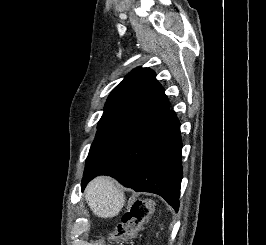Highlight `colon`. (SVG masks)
<instances>
[{"label":"colon","mask_w":266,"mask_h":245,"mask_svg":"<svg viewBox=\"0 0 266 245\" xmlns=\"http://www.w3.org/2000/svg\"><path fill=\"white\" fill-rule=\"evenodd\" d=\"M152 203L148 199H137L120 218L115 229L109 235L113 245H134L133 239L149 217Z\"/></svg>","instance_id":"obj_1"}]
</instances>
